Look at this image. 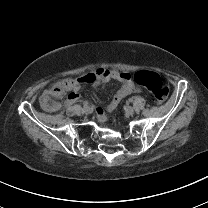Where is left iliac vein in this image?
Returning <instances> with one entry per match:
<instances>
[{
	"label": "left iliac vein",
	"mask_w": 208,
	"mask_h": 208,
	"mask_svg": "<svg viewBox=\"0 0 208 208\" xmlns=\"http://www.w3.org/2000/svg\"><path fill=\"white\" fill-rule=\"evenodd\" d=\"M124 110H125V113L127 115H133L134 114V108L131 107V106H125Z\"/></svg>",
	"instance_id": "obj_1"
}]
</instances>
